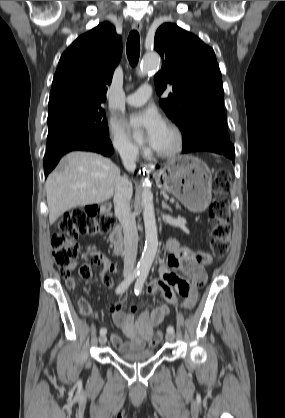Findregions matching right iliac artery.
I'll return each mask as SVG.
<instances>
[{
    "label": "right iliac artery",
    "mask_w": 285,
    "mask_h": 418,
    "mask_svg": "<svg viewBox=\"0 0 285 418\" xmlns=\"http://www.w3.org/2000/svg\"><path fill=\"white\" fill-rule=\"evenodd\" d=\"M142 269H136L132 272L131 275H129L126 279H124L119 286L116 288V293H121L123 291H125L130 284L133 282V280L141 273ZM107 330L106 328H101L100 329V334H106Z\"/></svg>",
    "instance_id": "82829eb1"
}]
</instances>
